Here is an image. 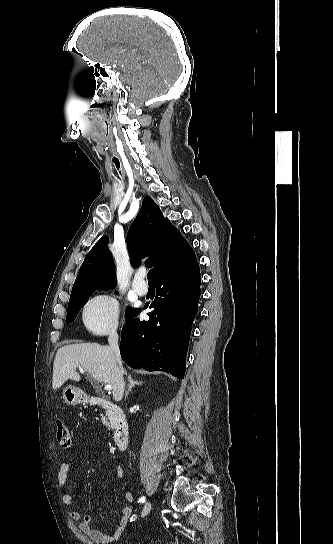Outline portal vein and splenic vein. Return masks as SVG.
Segmentation results:
<instances>
[{
    "label": "portal vein and splenic vein",
    "mask_w": 333,
    "mask_h": 544,
    "mask_svg": "<svg viewBox=\"0 0 333 544\" xmlns=\"http://www.w3.org/2000/svg\"><path fill=\"white\" fill-rule=\"evenodd\" d=\"M79 371H80L81 373H84V372H85L84 368H82V367L79 368ZM104 390L111 391V390H112V386H111L110 384H106V385L104 386Z\"/></svg>",
    "instance_id": "portal-vein-and-splenic-vein-1"
}]
</instances>
